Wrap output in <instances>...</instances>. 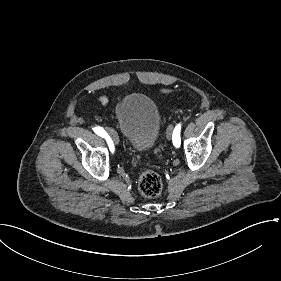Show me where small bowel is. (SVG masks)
I'll use <instances>...</instances> for the list:
<instances>
[{
  "instance_id": "c3829d8e",
  "label": "small bowel",
  "mask_w": 281,
  "mask_h": 281,
  "mask_svg": "<svg viewBox=\"0 0 281 281\" xmlns=\"http://www.w3.org/2000/svg\"><path fill=\"white\" fill-rule=\"evenodd\" d=\"M99 102L104 105V104H106L108 102V98L105 97V96H101L99 98Z\"/></svg>"
}]
</instances>
